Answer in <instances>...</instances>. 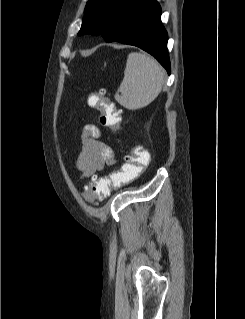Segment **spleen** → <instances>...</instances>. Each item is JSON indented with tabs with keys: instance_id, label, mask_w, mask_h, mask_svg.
Returning a JSON list of instances; mask_svg holds the SVG:
<instances>
[{
	"instance_id": "3e777b00",
	"label": "spleen",
	"mask_w": 245,
	"mask_h": 319,
	"mask_svg": "<svg viewBox=\"0 0 245 319\" xmlns=\"http://www.w3.org/2000/svg\"><path fill=\"white\" fill-rule=\"evenodd\" d=\"M163 84L164 70L160 64L145 53L131 52L127 58L124 78L114 97L129 110L141 109L159 95Z\"/></svg>"
}]
</instances>
